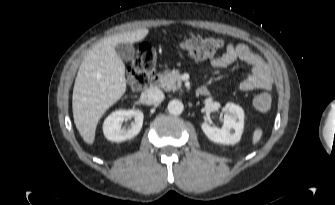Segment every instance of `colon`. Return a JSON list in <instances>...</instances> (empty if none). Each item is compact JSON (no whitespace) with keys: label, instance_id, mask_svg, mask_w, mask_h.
Instances as JSON below:
<instances>
[{"label":"colon","instance_id":"1","mask_svg":"<svg viewBox=\"0 0 335 205\" xmlns=\"http://www.w3.org/2000/svg\"><path fill=\"white\" fill-rule=\"evenodd\" d=\"M223 41L218 38L192 35L183 42V48L195 59L207 60L213 58L222 48ZM156 66V53L154 49L143 44L139 47L128 74V83L135 91L146 88ZM272 98L267 92H262L254 98V105L261 111L268 110Z\"/></svg>","mask_w":335,"mask_h":205}]
</instances>
